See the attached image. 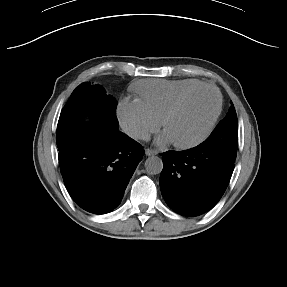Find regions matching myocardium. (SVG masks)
<instances>
[{
	"label": "myocardium",
	"mask_w": 287,
	"mask_h": 287,
	"mask_svg": "<svg viewBox=\"0 0 287 287\" xmlns=\"http://www.w3.org/2000/svg\"><path fill=\"white\" fill-rule=\"evenodd\" d=\"M203 89H207V90H211L215 93L216 95V108L215 111L210 119V121L208 122L207 126L205 127V129L203 130V132L197 136L196 138L187 141V142H173L175 147L179 148V149H190L193 147L198 146L199 144H201L202 142H204L209 135L211 134L212 130L214 129L218 118L221 114L222 111V96L220 91L210 85V84H200L198 86H195L193 88L188 89L186 92H184L172 105L171 107L168 109V111L166 112V114L164 115L163 119H162V126L163 129L166 130V127L169 123V121L179 112V110L181 109V107L183 106V104L186 102V100L194 93H196L197 91L203 90Z\"/></svg>",
	"instance_id": "1"
}]
</instances>
